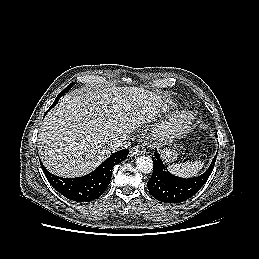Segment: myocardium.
Masks as SVG:
<instances>
[{"mask_svg": "<svg viewBox=\"0 0 259 259\" xmlns=\"http://www.w3.org/2000/svg\"><path fill=\"white\" fill-rule=\"evenodd\" d=\"M197 115L193 111L180 112L168 125L158 131L160 138L186 132L196 121Z\"/></svg>", "mask_w": 259, "mask_h": 259, "instance_id": "f54148a6", "label": "myocardium"}]
</instances>
